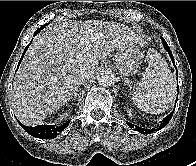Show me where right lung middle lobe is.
<instances>
[{"mask_svg": "<svg viewBox=\"0 0 196 166\" xmlns=\"http://www.w3.org/2000/svg\"><path fill=\"white\" fill-rule=\"evenodd\" d=\"M41 28L43 29V28H44V25H43V26H41Z\"/></svg>", "mask_w": 196, "mask_h": 166, "instance_id": "dd1d6c3e", "label": "right lung middle lobe"}]
</instances>
